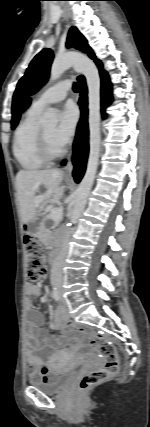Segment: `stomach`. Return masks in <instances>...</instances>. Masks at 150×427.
<instances>
[{"mask_svg": "<svg viewBox=\"0 0 150 427\" xmlns=\"http://www.w3.org/2000/svg\"><path fill=\"white\" fill-rule=\"evenodd\" d=\"M35 229H38V228H37V227H34V230H35Z\"/></svg>", "mask_w": 150, "mask_h": 427, "instance_id": "stomach-1", "label": "stomach"}]
</instances>
